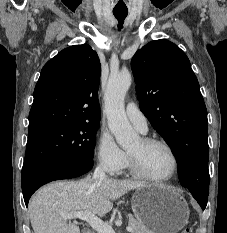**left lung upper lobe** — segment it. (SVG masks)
Listing matches in <instances>:
<instances>
[{
	"mask_svg": "<svg viewBox=\"0 0 227 233\" xmlns=\"http://www.w3.org/2000/svg\"><path fill=\"white\" fill-rule=\"evenodd\" d=\"M131 67L141 111L170 146L181 185L207 195V110L188 57L160 39L138 50Z\"/></svg>",
	"mask_w": 227,
	"mask_h": 233,
	"instance_id": "5c2ea615",
	"label": "left lung upper lobe"
}]
</instances>
